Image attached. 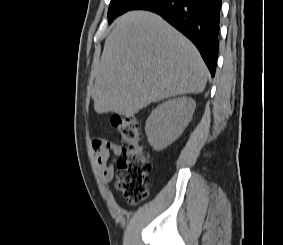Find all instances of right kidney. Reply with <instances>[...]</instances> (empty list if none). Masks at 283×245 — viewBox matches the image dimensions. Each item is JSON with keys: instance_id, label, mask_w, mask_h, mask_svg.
Returning a JSON list of instances; mask_svg holds the SVG:
<instances>
[{"instance_id": "1", "label": "right kidney", "mask_w": 283, "mask_h": 245, "mask_svg": "<svg viewBox=\"0 0 283 245\" xmlns=\"http://www.w3.org/2000/svg\"><path fill=\"white\" fill-rule=\"evenodd\" d=\"M196 102L180 97L158 105L146 121L148 142L155 150H162L174 142L192 119Z\"/></svg>"}]
</instances>
